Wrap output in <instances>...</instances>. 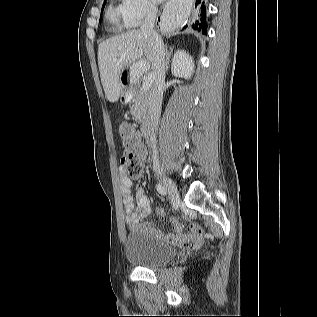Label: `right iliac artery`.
<instances>
[{
    "instance_id": "1",
    "label": "right iliac artery",
    "mask_w": 317,
    "mask_h": 317,
    "mask_svg": "<svg viewBox=\"0 0 317 317\" xmlns=\"http://www.w3.org/2000/svg\"><path fill=\"white\" fill-rule=\"evenodd\" d=\"M156 189L161 195H163V196L167 195V189L164 186H162L161 184H157Z\"/></svg>"
}]
</instances>
